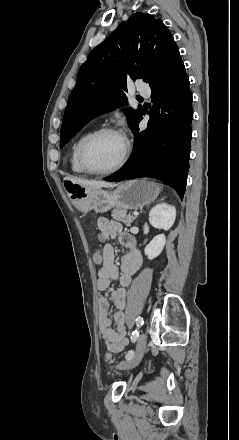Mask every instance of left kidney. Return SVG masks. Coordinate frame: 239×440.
I'll return each mask as SVG.
<instances>
[{
    "label": "left kidney",
    "mask_w": 239,
    "mask_h": 440,
    "mask_svg": "<svg viewBox=\"0 0 239 440\" xmlns=\"http://www.w3.org/2000/svg\"><path fill=\"white\" fill-rule=\"evenodd\" d=\"M176 218V210L174 206H169V204H157L149 214V222L153 228H159V230H170L172 228ZM166 244V238L164 234H159L155 236L152 242L146 246L144 252L148 260H154L159 254H161L164 246Z\"/></svg>",
    "instance_id": "1"
}]
</instances>
